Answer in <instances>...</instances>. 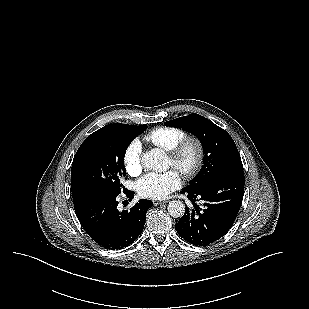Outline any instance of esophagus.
<instances>
[{
    "label": "esophagus",
    "mask_w": 309,
    "mask_h": 309,
    "mask_svg": "<svg viewBox=\"0 0 309 309\" xmlns=\"http://www.w3.org/2000/svg\"><path fill=\"white\" fill-rule=\"evenodd\" d=\"M164 203H166V202H165V201L153 200V204H154L155 206H158V205H161V204H164Z\"/></svg>",
    "instance_id": "obj_1"
}]
</instances>
